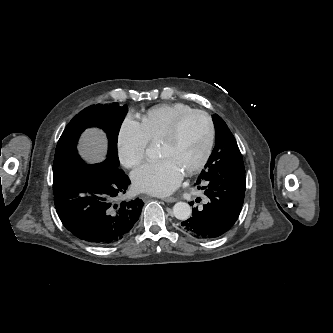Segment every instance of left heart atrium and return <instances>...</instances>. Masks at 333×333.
<instances>
[{
	"label": "left heart atrium",
	"instance_id": "39dd6f15",
	"mask_svg": "<svg viewBox=\"0 0 333 333\" xmlns=\"http://www.w3.org/2000/svg\"><path fill=\"white\" fill-rule=\"evenodd\" d=\"M183 170L170 158L146 162L132 173L135 188L141 192L165 196L181 183Z\"/></svg>",
	"mask_w": 333,
	"mask_h": 333
}]
</instances>
